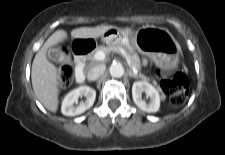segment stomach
Returning <instances> with one entry per match:
<instances>
[{"instance_id":"stomach-1","label":"stomach","mask_w":225,"mask_h":155,"mask_svg":"<svg viewBox=\"0 0 225 155\" xmlns=\"http://www.w3.org/2000/svg\"><path fill=\"white\" fill-rule=\"evenodd\" d=\"M107 44L119 43L128 51H138L153 61L161 60L171 63L168 53L178 51L179 45L172 34L161 27L142 26L133 31L130 29L112 28L102 35Z\"/></svg>"}]
</instances>
